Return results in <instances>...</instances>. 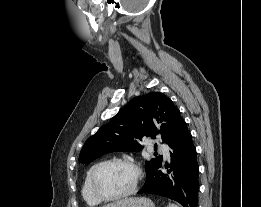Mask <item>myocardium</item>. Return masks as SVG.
<instances>
[{
    "label": "myocardium",
    "mask_w": 261,
    "mask_h": 207,
    "mask_svg": "<svg viewBox=\"0 0 261 207\" xmlns=\"http://www.w3.org/2000/svg\"><path fill=\"white\" fill-rule=\"evenodd\" d=\"M112 164H124V165L130 166L135 172V180H134V183L131 186V188L128 189L127 191L117 194V195H113V196H106L99 190L98 185H97V180H98V176H99L100 172L105 167L112 165ZM141 178H142L141 169L134 161L127 159V158H112V159H108V160L101 162L93 170L92 175H91V180H90V186H91V190H92V193L94 194V196L97 199H99L101 202H112V201L126 198V197L134 194L139 186Z\"/></svg>",
    "instance_id": "myocardium-1"
}]
</instances>
